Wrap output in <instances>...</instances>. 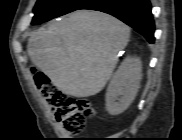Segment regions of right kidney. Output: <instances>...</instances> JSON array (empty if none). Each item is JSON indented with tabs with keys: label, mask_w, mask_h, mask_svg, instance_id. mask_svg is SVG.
<instances>
[{
	"label": "right kidney",
	"mask_w": 182,
	"mask_h": 140,
	"mask_svg": "<svg viewBox=\"0 0 182 140\" xmlns=\"http://www.w3.org/2000/svg\"><path fill=\"white\" fill-rule=\"evenodd\" d=\"M139 58H126L114 73L106 93V110L111 115L124 112L134 100L141 81Z\"/></svg>",
	"instance_id": "obj_1"
}]
</instances>
